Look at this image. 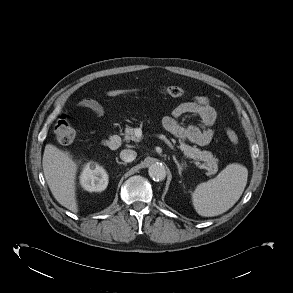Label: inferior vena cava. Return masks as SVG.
I'll return each instance as SVG.
<instances>
[{
	"label": "inferior vena cava",
	"mask_w": 293,
	"mask_h": 293,
	"mask_svg": "<svg viewBox=\"0 0 293 293\" xmlns=\"http://www.w3.org/2000/svg\"><path fill=\"white\" fill-rule=\"evenodd\" d=\"M137 156V153L131 149H124L120 152V158L124 162H132Z\"/></svg>",
	"instance_id": "obj_1"
}]
</instances>
